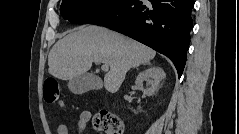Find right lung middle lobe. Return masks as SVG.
<instances>
[{"label": "right lung middle lobe", "instance_id": "right-lung-middle-lobe-1", "mask_svg": "<svg viewBox=\"0 0 239 134\" xmlns=\"http://www.w3.org/2000/svg\"><path fill=\"white\" fill-rule=\"evenodd\" d=\"M120 0H62L60 13L71 23L84 24Z\"/></svg>", "mask_w": 239, "mask_h": 134}]
</instances>
